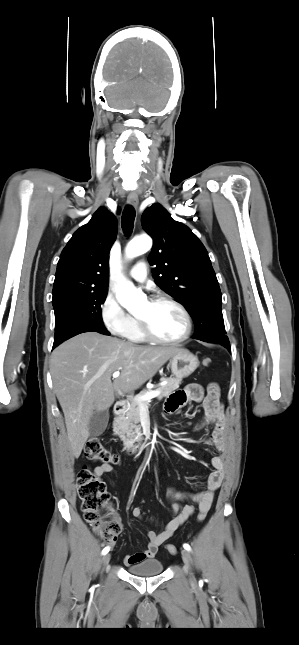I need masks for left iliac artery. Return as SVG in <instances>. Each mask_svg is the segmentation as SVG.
<instances>
[{"label":"left iliac artery","instance_id":"1","mask_svg":"<svg viewBox=\"0 0 299 645\" xmlns=\"http://www.w3.org/2000/svg\"><path fill=\"white\" fill-rule=\"evenodd\" d=\"M183 547H184V549H185V550H187V551H190V550H191L190 545H189V544H187V543L183 544Z\"/></svg>","mask_w":299,"mask_h":645}]
</instances>
